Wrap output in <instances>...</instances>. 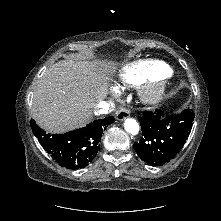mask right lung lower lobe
Segmentation results:
<instances>
[{"label": "right lung lower lobe", "instance_id": "right-lung-lower-lobe-1", "mask_svg": "<svg viewBox=\"0 0 221 221\" xmlns=\"http://www.w3.org/2000/svg\"><path fill=\"white\" fill-rule=\"evenodd\" d=\"M114 121L112 116L105 117L82 129L60 135L46 134L34 120L30 121V125L42 147L60 166L80 169L92 162L100 149L103 131Z\"/></svg>", "mask_w": 221, "mask_h": 221}]
</instances>
